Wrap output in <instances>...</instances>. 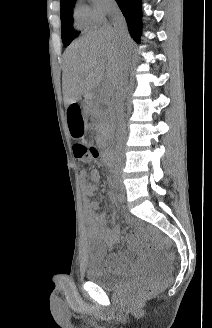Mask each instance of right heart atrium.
Returning <instances> with one entry per match:
<instances>
[{"mask_svg":"<svg viewBox=\"0 0 212 328\" xmlns=\"http://www.w3.org/2000/svg\"><path fill=\"white\" fill-rule=\"evenodd\" d=\"M114 6V0H89V6L85 10L93 22L100 23L106 20Z\"/></svg>","mask_w":212,"mask_h":328,"instance_id":"1","label":"right heart atrium"}]
</instances>
